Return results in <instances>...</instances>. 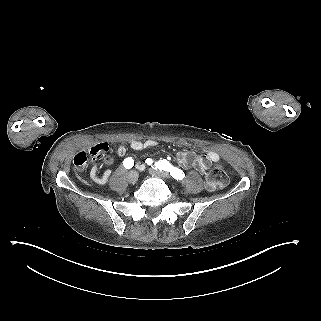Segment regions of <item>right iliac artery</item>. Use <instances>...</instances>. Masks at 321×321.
<instances>
[{
    "instance_id": "1",
    "label": "right iliac artery",
    "mask_w": 321,
    "mask_h": 321,
    "mask_svg": "<svg viewBox=\"0 0 321 321\" xmlns=\"http://www.w3.org/2000/svg\"><path fill=\"white\" fill-rule=\"evenodd\" d=\"M123 165L125 168L127 169H130L133 167L134 165V160L132 158H126L124 161H123Z\"/></svg>"
}]
</instances>
